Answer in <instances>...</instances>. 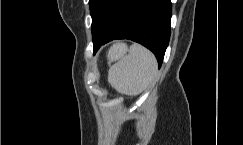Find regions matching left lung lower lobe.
Instances as JSON below:
<instances>
[{
    "instance_id": "left-lung-lower-lobe-1",
    "label": "left lung lower lobe",
    "mask_w": 243,
    "mask_h": 145,
    "mask_svg": "<svg viewBox=\"0 0 243 145\" xmlns=\"http://www.w3.org/2000/svg\"><path fill=\"white\" fill-rule=\"evenodd\" d=\"M170 0H128L110 28L92 29L95 54L114 39H130L151 50L159 66L170 38Z\"/></svg>"
}]
</instances>
